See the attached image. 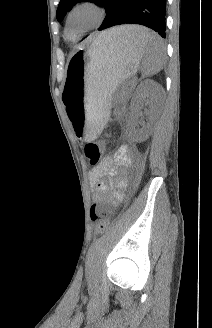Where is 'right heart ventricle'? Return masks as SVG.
Instances as JSON below:
<instances>
[{
	"label": "right heart ventricle",
	"instance_id": "obj_1",
	"mask_svg": "<svg viewBox=\"0 0 212 328\" xmlns=\"http://www.w3.org/2000/svg\"><path fill=\"white\" fill-rule=\"evenodd\" d=\"M66 36L69 40H73L74 39V35L72 32H66Z\"/></svg>",
	"mask_w": 212,
	"mask_h": 328
}]
</instances>
